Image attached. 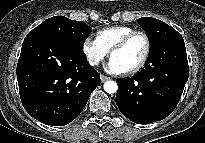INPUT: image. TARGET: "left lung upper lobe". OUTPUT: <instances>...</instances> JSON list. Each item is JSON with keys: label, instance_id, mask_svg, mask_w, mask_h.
Returning a JSON list of instances; mask_svg holds the SVG:
<instances>
[{"label": "left lung upper lobe", "instance_id": "left-lung-upper-lobe-1", "mask_svg": "<svg viewBox=\"0 0 205 143\" xmlns=\"http://www.w3.org/2000/svg\"><path fill=\"white\" fill-rule=\"evenodd\" d=\"M139 24L144 28L150 41V53L145 64V69L152 67L154 59L152 51L162 43L166 38L179 34L174 28L168 24L151 17L139 18ZM161 56H158L160 58ZM163 57V56H162Z\"/></svg>", "mask_w": 205, "mask_h": 143}]
</instances>
